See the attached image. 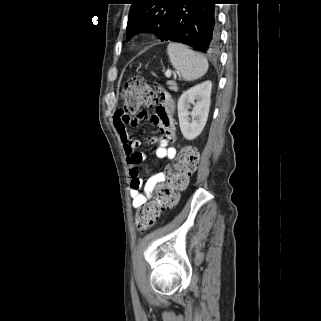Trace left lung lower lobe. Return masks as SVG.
<instances>
[{"label": "left lung lower lobe", "mask_w": 321, "mask_h": 321, "mask_svg": "<svg viewBox=\"0 0 321 321\" xmlns=\"http://www.w3.org/2000/svg\"><path fill=\"white\" fill-rule=\"evenodd\" d=\"M220 0H178L162 41H174L213 54L219 47L215 4Z\"/></svg>", "instance_id": "obj_1"}]
</instances>
